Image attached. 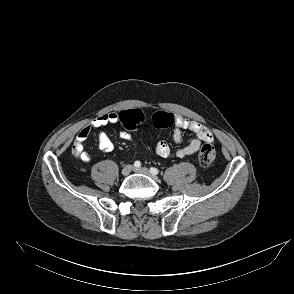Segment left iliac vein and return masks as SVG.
<instances>
[{"mask_svg": "<svg viewBox=\"0 0 294 294\" xmlns=\"http://www.w3.org/2000/svg\"><path fill=\"white\" fill-rule=\"evenodd\" d=\"M134 171L137 173H141L144 175L149 176L151 179H153L154 181H159L158 176H156L155 174L151 173L147 168L145 167H140V168H134Z\"/></svg>", "mask_w": 294, "mask_h": 294, "instance_id": "4c4485c4", "label": "left iliac vein"}]
</instances>
